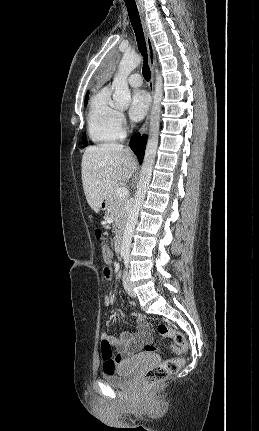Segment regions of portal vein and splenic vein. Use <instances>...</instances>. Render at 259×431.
Instances as JSON below:
<instances>
[{
    "mask_svg": "<svg viewBox=\"0 0 259 431\" xmlns=\"http://www.w3.org/2000/svg\"><path fill=\"white\" fill-rule=\"evenodd\" d=\"M128 195V190L125 187H119L117 189V196L119 198H125Z\"/></svg>",
    "mask_w": 259,
    "mask_h": 431,
    "instance_id": "portal-vein-and-splenic-vein-1",
    "label": "portal vein and splenic vein"
}]
</instances>
